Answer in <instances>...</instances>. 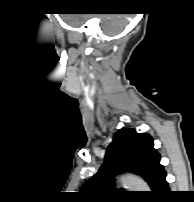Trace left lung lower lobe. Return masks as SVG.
I'll list each match as a JSON object with an SVG mask.
<instances>
[{
  "mask_svg": "<svg viewBox=\"0 0 194 202\" xmlns=\"http://www.w3.org/2000/svg\"><path fill=\"white\" fill-rule=\"evenodd\" d=\"M151 193L158 198H164L170 193L164 168L161 169Z\"/></svg>",
  "mask_w": 194,
  "mask_h": 202,
  "instance_id": "left-lung-lower-lobe-1",
  "label": "left lung lower lobe"
}]
</instances>
